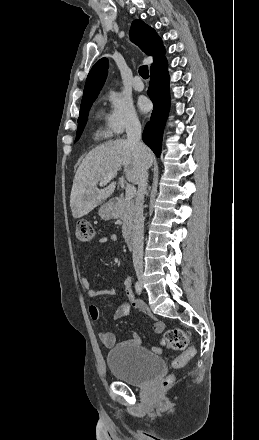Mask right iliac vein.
I'll return each instance as SVG.
<instances>
[{
    "label": "right iliac vein",
    "mask_w": 259,
    "mask_h": 440,
    "mask_svg": "<svg viewBox=\"0 0 259 440\" xmlns=\"http://www.w3.org/2000/svg\"><path fill=\"white\" fill-rule=\"evenodd\" d=\"M136 274H137V278H138L139 284L141 286H143V284H144L143 271L141 269H138Z\"/></svg>",
    "instance_id": "63e3f726"
}]
</instances>
